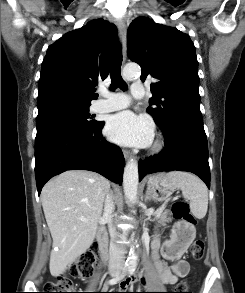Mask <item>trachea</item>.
<instances>
[{
    "label": "trachea",
    "mask_w": 245,
    "mask_h": 293,
    "mask_svg": "<svg viewBox=\"0 0 245 293\" xmlns=\"http://www.w3.org/2000/svg\"><path fill=\"white\" fill-rule=\"evenodd\" d=\"M121 64H122V55L119 48L115 56V59L113 61L111 72H110V75H111L110 90L111 91H114L118 87L124 91L127 89V85L121 77Z\"/></svg>",
    "instance_id": "trachea-1"
}]
</instances>
